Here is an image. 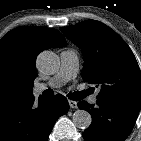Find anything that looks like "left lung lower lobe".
I'll list each match as a JSON object with an SVG mask.
<instances>
[{
    "label": "left lung lower lobe",
    "mask_w": 141,
    "mask_h": 141,
    "mask_svg": "<svg viewBox=\"0 0 141 141\" xmlns=\"http://www.w3.org/2000/svg\"><path fill=\"white\" fill-rule=\"evenodd\" d=\"M78 107L92 116L91 125L83 133L85 141H124L131 133L140 110V106L116 105L100 100L95 106L80 101Z\"/></svg>",
    "instance_id": "left-lung-lower-lobe-1"
}]
</instances>
